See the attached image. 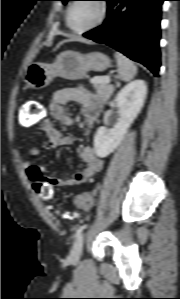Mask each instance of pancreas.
Masks as SVG:
<instances>
[{
	"instance_id": "cf45deb5",
	"label": "pancreas",
	"mask_w": 180,
	"mask_h": 299,
	"mask_svg": "<svg viewBox=\"0 0 180 299\" xmlns=\"http://www.w3.org/2000/svg\"><path fill=\"white\" fill-rule=\"evenodd\" d=\"M106 77L99 78V83L95 85L97 97L100 101L105 102L113 92V87L105 82Z\"/></svg>"
}]
</instances>
